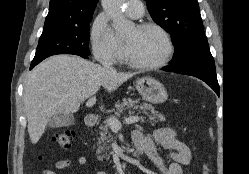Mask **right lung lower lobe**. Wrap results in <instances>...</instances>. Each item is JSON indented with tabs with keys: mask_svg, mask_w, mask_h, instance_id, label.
Wrapping results in <instances>:
<instances>
[{
	"mask_svg": "<svg viewBox=\"0 0 249 174\" xmlns=\"http://www.w3.org/2000/svg\"><path fill=\"white\" fill-rule=\"evenodd\" d=\"M81 57H83V58H88L87 56H84V55H82ZM41 61H36V62H33L32 61V63H31V66H30V70L34 67V66H36L38 63H40Z\"/></svg>",
	"mask_w": 249,
	"mask_h": 174,
	"instance_id": "1",
	"label": "right lung lower lobe"
}]
</instances>
